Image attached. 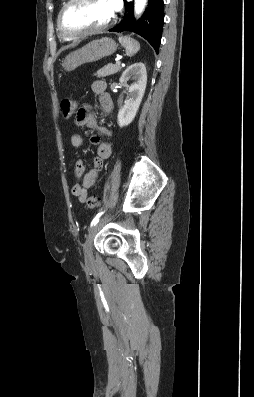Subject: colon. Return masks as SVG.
<instances>
[{"label":"colon","mask_w":254,"mask_h":397,"mask_svg":"<svg viewBox=\"0 0 254 397\" xmlns=\"http://www.w3.org/2000/svg\"><path fill=\"white\" fill-rule=\"evenodd\" d=\"M78 107V102L72 99H64L61 102V111L64 117H71ZM87 207L89 209H94L99 205V199L97 196H90L86 201Z\"/></svg>","instance_id":"colon-1"}]
</instances>
